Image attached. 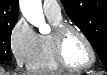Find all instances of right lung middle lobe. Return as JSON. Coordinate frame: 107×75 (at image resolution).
<instances>
[{
  "label": "right lung middle lobe",
  "mask_w": 107,
  "mask_h": 75,
  "mask_svg": "<svg viewBox=\"0 0 107 75\" xmlns=\"http://www.w3.org/2000/svg\"><path fill=\"white\" fill-rule=\"evenodd\" d=\"M15 23L0 25V60L11 61L10 39Z\"/></svg>",
  "instance_id": "dd1d6c3e"
}]
</instances>
